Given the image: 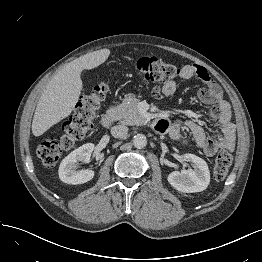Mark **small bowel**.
I'll use <instances>...</instances> for the list:
<instances>
[{
	"mask_svg": "<svg viewBox=\"0 0 262 262\" xmlns=\"http://www.w3.org/2000/svg\"><path fill=\"white\" fill-rule=\"evenodd\" d=\"M194 75L205 84L199 92V97L204 103L213 105L209 116L219 121L221 131L209 135L191 119L170 121L165 116L159 117L156 129L159 132L168 134L173 141L180 142L186 146L196 145L207 156H214L219 150L232 151L235 145V129L231 122L230 104L224 98L219 85L211 78L204 67L196 64H188L181 67L180 79H189ZM176 87V81H169L162 87V95L169 96L173 94ZM183 127L190 131L193 138L192 142L184 138L181 131Z\"/></svg>",
	"mask_w": 262,
	"mask_h": 262,
	"instance_id": "c3829d8e",
	"label": "small bowel"
}]
</instances>
